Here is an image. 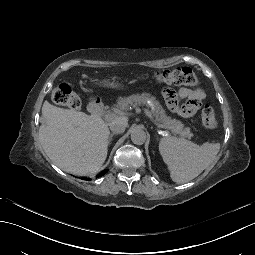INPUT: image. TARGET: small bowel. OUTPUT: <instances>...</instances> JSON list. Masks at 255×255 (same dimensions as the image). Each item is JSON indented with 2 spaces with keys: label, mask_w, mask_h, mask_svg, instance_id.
<instances>
[{
  "label": "small bowel",
  "mask_w": 255,
  "mask_h": 255,
  "mask_svg": "<svg viewBox=\"0 0 255 255\" xmlns=\"http://www.w3.org/2000/svg\"><path fill=\"white\" fill-rule=\"evenodd\" d=\"M177 94L180 98L187 100L178 112L183 117L193 116L200 108L202 100L205 97V94L201 89L193 90L188 88H181Z\"/></svg>",
  "instance_id": "obj_1"
}]
</instances>
